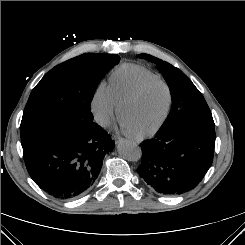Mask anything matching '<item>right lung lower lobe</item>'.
<instances>
[{
  "label": "right lung lower lobe",
  "mask_w": 245,
  "mask_h": 245,
  "mask_svg": "<svg viewBox=\"0 0 245 245\" xmlns=\"http://www.w3.org/2000/svg\"><path fill=\"white\" fill-rule=\"evenodd\" d=\"M114 146L111 136L92 121L23 147V156L29 175L41 189L58 199H72L90 190L104 156Z\"/></svg>",
  "instance_id": "98d812e1"
}]
</instances>
